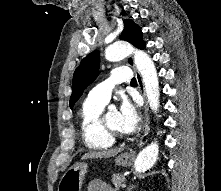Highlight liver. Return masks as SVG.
<instances>
[{
    "label": "liver",
    "instance_id": "6515ba94",
    "mask_svg": "<svg viewBox=\"0 0 221 191\" xmlns=\"http://www.w3.org/2000/svg\"><path fill=\"white\" fill-rule=\"evenodd\" d=\"M121 152V149H112L106 151H99V152H89L82 156V159H92V158H109L112 156L117 155Z\"/></svg>",
    "mask_w": 221,
    "mask_h": 191
}]
</instances>
